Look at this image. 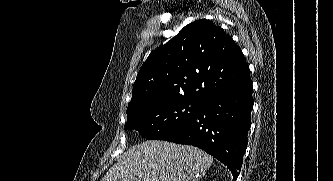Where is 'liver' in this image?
Wrapping results in <instances>:
<instances>
[{
    "label": "liver",
    "mask_w": 333,
    "mask_h": 181,
    "mask_svg": "<svg viewBox=\"0 0 333 181\" xmlns=\"http://www.w3.org/2000/svg\"><path fill=\"white\" fill-rule=\"evenodd\" d=\"M212 162L197 147L150 140L129 149L101 181H198Z\"/></svg>",
    "instance_id": "1"
}]
</instances>
